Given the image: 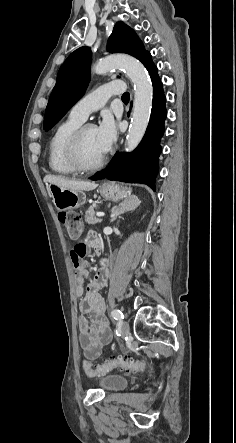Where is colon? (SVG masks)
Wrapping results in <instances>:
<instances>
[{"label": "colon", "instance_id": "obj_1", "mask_svg": "<svg viewBox=\"0 0 236 443\" xmlns=\"http://www.w3.org/2000/svg\"><path fill=\"white\" fill-rule=\"evenodd\" d=\"M58 217L71 238H76L80 236L83 229V223H82V218L78 213L60 212ZM71 256L73 259V265L76 269L79 266V260L85 256V247L84 246L74 247L72 249ZM83 367L86 374L90 377L103 375L116 368H120L127 372H138V371H144L146 369V366L141 362L128 361L120 357L106 360L104 363L100 364L94 369L90 362L89 356H86Z\"/></svg>", "mask_w": 236, "mask_h": 443}]
</instances>
